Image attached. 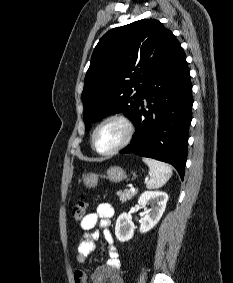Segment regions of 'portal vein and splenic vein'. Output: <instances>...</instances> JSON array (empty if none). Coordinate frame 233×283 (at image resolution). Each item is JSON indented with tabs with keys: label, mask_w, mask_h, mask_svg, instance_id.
<instances>
[{
	"label": "portal vein and splenic vein",
	"mask_w": 233,
	"mask_h": 283,
	"mask_svg": "<svg viewBox=\"0 0 233 283\" xmlns=\"http://www.w3.org/2000/svg\"><path fill=\"white\" fill-rule=\"evenodd\" d=\"M132 192H136V189L134 187H131L130 189Z\"/></svg>",
	"instance_id": "obj_1"
}]
</instances>
